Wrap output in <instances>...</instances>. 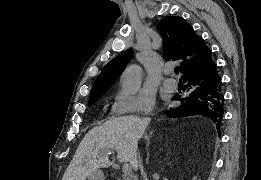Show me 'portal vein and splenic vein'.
Segmentation results:
<instances>
[{"instance_id":"portal-vein-and-splenic-vein-1","label":"portal vein and splenic vein","mask_w":261,"mask_h":180,"mask_svg":"<svg viewBox=\"0 0 261 180\" xmlns=\"http://www.w3.org/2000/svg\"><path fill=\"white\" fill-rule=\"evenodd\" d=\"M122 170H123V172H125V174H130V166H129V164H124Z\"/></svg>"}]
</instances>
